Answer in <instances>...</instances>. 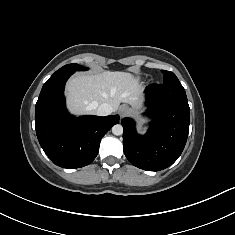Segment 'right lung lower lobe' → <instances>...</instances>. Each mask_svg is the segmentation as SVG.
Masks as SVG:
<instances>
[{
	"mask_svg": "<svg viewBox=\"0 0 235 235\" xmlns=\"http://www.w3.org/2000/svg\"><path fill=\"white\" fill-rule=\"evenodd\" d=\"M74 72L54 73L43 85L35 107V128L42 149L63 168L90 164L102 137L119 122V116L75 117L65 107L64 87Z\"/></svg>",
	"mask_w": 235,
	"mask_h": 235,
	"instance_id": "right-lung-lower-lobe-1",
	"label": "right lung lower lobe"
}]
</instances>
